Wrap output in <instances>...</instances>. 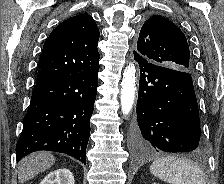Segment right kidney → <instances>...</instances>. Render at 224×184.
<instances>
[{
	"label": "right kidney",
	"mask_w": 224,
	"mask_h": 184,
	"mask_svg": "<svg viewBox=\"0 0 224 184\" xmlns=\"http://www.w3.org/2000/svg\"><path fill=\"white\" fill-rule=\"evenodd\" d=\"M40 184H74V177L69 169H57L50 172Z\"/></svg>",
	"instance_id": "ca27d5eb"
}]
</instances>
